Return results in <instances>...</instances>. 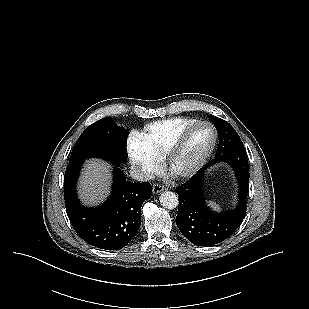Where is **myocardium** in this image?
Wrapping results in <instances>:
<instances>
[{
    "label": "myocardium",
    "instance_id": "myocardium-1",
    "mask_svg": "<svg viewBox=\"0 0 309 309\" xmlns=\"http://www.w3.org/2000/svg\"><path fill=\"white\" fill-rule=\"evenodd\" d=\"M199 126H207L212 132V141L208 149L193 163L183 168H176L175 162L180 154L186 148L189 139L193 131ZM218 134L215 127L208 121H196L191 124L185 131L180 135V137L173 143L169 151L164 157V165L166 170L173 175L175 178L183 179L193 176L201 167L207 162L211 154L213 153L216 143H217Z\"/></svg>",
    "mask_w": 309,
    "mask_h": 309
}]
</instances>
